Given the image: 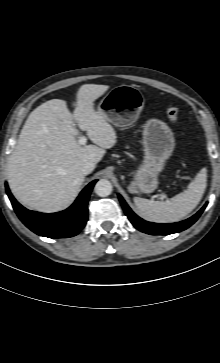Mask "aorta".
Here are the masks:
<instances>
[{"label": "aorta", "instance_id": "762f6f07", "mask_svg": "<svg viewBox=\"0 0 220 363\" xmlns=\"http://www.w3.org/2000/svg\"><path fill=\"white\" fill-rule=\"evenodd\" d=\"M94 190L98 196L106 197L112 193V184L107 179H100L96 183Z\"/></svg>", "mask_w": 220, "mask_h": 363}]
</instances>
